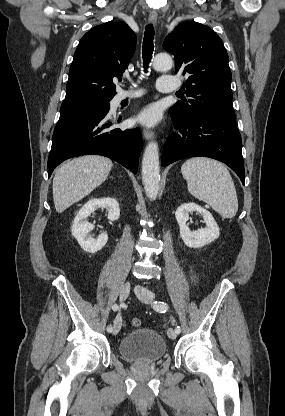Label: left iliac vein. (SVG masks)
<instances>
[{"label":"left iliac vein","instance_id":"obj_1","mask_svg":"<svg viewBox=\"0 0 285 416\" xmlns=\"http://www.w3.org/2000/svg\"><path fill=\"white\" fill-rule=\"evenodd\" d=\"M135 294L141 301H143L145 303H149L154 298L153 292H151L147 288H144L140 285H137L135 287ZM177 334L178 333L176 331H174L173 328L168 329V336H169L170 339H175Z\"/></svg>","mask_w":285,"mask_h":416}]
</instances>
